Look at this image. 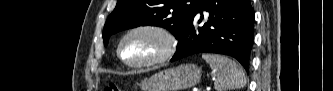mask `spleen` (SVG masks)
Masks as SVG:
<instances>
[{
  "mask_svg": "<svg viewBox=\"0 0 333 91\" xmlns=\"http://www.w3.org/2000/svg\"><path fill=\"white\" fill-rule=\"evenodd\" d=\"M202 58L217 72L216 91H230L246 85L245 73L237 62L216 54H202Z\"/></svg>",
  "mask_w": 333,
  "mask_h": 91,
  "instance_id": "obj_1",
  "label": "spleen"
}]
</instances>
